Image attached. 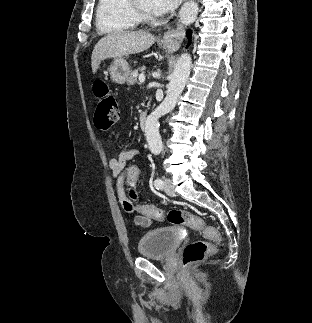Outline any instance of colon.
Masks as SVG:
<instances>
[{"label":"colon","mask_w":312,"mask_h":323,"mask_svg":"<svg viewBox=\"0 0 312 323\" xmlns=\"http://www.w3.org/2000/svg\"><path fill=\"white\" fill-rule=\"evenodd\" d=\"M96 85L93 87L95 94L100 98L95 112V126L103 132L108 130L114 125L120 117V106L115 97L109 93L108 86L98 78L95 80ZM128 184H135L136 179L139 178L138 168H132L129 166L127 169ZM131 196L135 198V191L131 189ZM123 208L127 212L133 210V204L130 200L124 199L122 202ZM137 213H157L158 219H164V215L160 213V206H151L150 202H139L136 208ZM169 215L168 222L173 225H187L194 231L202 232L206 237L212 238L213 244L206 241H195L188 244L183 252V262L181 264L182 269H189L190 264H195L203 261L207 256L212 255L217 245L221 244V238L217 237L216 231L207 228L202 219L188 210H181L173 208L167 213Z\"/></svg>","instance_id":"1"}]
</instances>
